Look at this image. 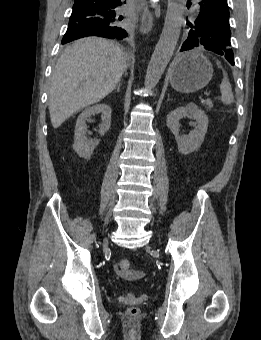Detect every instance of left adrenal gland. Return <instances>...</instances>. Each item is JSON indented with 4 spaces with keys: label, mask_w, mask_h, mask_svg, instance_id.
Here are the masks:
<instances>
[{
    "label": "left adrenal gland",
    "mask_w": 261,
    "mask_h": 340,
    "mask_svg": "<svg viewBox=\"0 0 261 340\" xmlns=\"http://www.w3.org/2000/svg\"><path fill=\"white\" fill-rule=\"evenodd\" d=\"M169 101H170V95L168 94L167 102H169Z\"/></svg>",
    "instance_id": "1"
}]
</instances>
